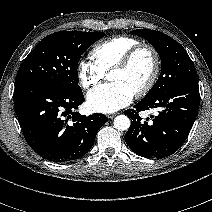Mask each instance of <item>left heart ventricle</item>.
<instances>
[{
  "mask_svg": "<svg viewBox=\"0 0 212 212\" xmlns=\"http://www.w3.org/2000/svg\"><path fill=\"white\" fill-rule=\"evenodd\" d=\"M153 68L152 57L148 52L140 53L132 65L124 71H111L108 79L114 82H120L132 91L136 92L143 86L151 75Z\"/></svg>",
  "mask_w": 212,
  "mask_h": 212,
  "instance_id": "obj_1",
  "label": "left heart ventricle"
}]
</instances>
